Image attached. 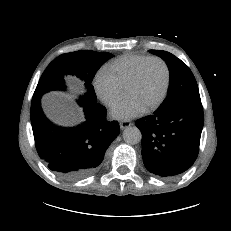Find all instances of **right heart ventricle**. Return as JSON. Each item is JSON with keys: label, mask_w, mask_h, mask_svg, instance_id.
<instances>
[{"label": "right heart ventricle", "mask_w": 231, "mask_h": 231, "mask_svg": "<svg viewBox=\"0 0 231 231\" xmlns=\"http://www.w3.org/2000/svg\"><path fill=\"white\" fill-rule=\"evenodd\" d=\"M149 57L151 56L144 54H125L114 59L104 68L114 77L118 85L125 90L138 66Z\"/></svg>", "instance_id": "obj_1"}]
</instances>
